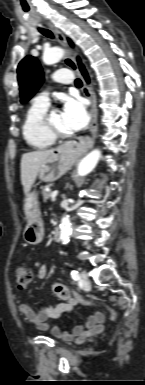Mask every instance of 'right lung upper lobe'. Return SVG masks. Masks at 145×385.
Here are the masks:
<instances>
[{
    "mask_svg": "<svg viewBox=\"0 0 145 385\" xmlns=\"http://www.w3.org/2000/svg\"><path fill=\"white\" fill-rule=\"evenodd\" d=\"M69 43L72 45V42H71V41H69ZM78 63H79V65H82L81 62H80V60H78Z\"/></svg>",
    "mask_w": 145,
    "mask_h": 385,
    "instance_id": "cb5924a9",
    "label": "right lung upper lobe"
}]
</instances>
